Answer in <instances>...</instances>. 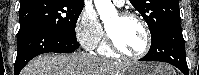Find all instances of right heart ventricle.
I'll return each mask as SVG.
<instances>
[{
	"label": "right heart ventricle",
	"instance_id": "1",
	"mask_svg": "<svg viewBox=\"0 0 199 75\" xmlns=\"http://www.w3.org/2000/svg\"><path fill=\"white\" fill-rule=\"evenodd\" d=\"M98 52H99L101 55H104V56H112V55H113L112 50L109 48V46H108L106 43H102V44L99 46Z\"/></svg>",
	"mask_w": 199,
	"mask_h": 75
}]
</instances>
